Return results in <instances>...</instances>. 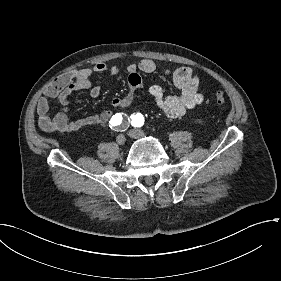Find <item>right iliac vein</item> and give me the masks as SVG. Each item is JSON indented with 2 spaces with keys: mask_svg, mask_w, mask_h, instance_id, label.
I'll return each mask as SVG.
<instances>
[{
  "mask_svg": "<svg viewBox=\"0 0 281 281\" xmlns=\"http://www.w3.org/2000/svg\"><path fill=\"white\" fill-rule=\"evenodd\" d=\"M125 141H126V138L123 134H119L117 137H116V142L117 144L119 145H124L125 144Z\"/></svg>",
  "mask_w": 281,
  "mask_h": 281,
  "instance_id": "1",
  "label": "right iliac vein"
}]
</instances>
